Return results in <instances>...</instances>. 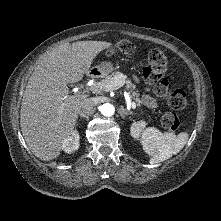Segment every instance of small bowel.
<instances>
[{
	"instance_id": "c3829d8e",
	"label": "small bowel",
	"mask_w": 221,
	"mask_h": 221,
	"mask_svg": "<svg viewBox=\"0 0 221 221\" xmlns=\"http://www.w3.org/2000/svg\"><path fill=\"white\" fill-rule=\"evenodd\" d=\"M143 100H144V103L150 108H157L158 107L157 102L148 94L144 95Z\"/></svg>"
}]
</instances>
